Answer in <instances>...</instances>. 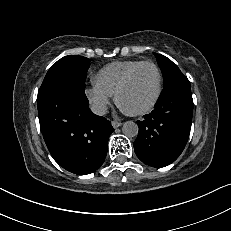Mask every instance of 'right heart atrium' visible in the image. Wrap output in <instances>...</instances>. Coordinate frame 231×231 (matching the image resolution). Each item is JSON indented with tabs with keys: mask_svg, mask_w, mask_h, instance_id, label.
I'll list each match as a JSON object with an SVG mask.
<instances>
[{
	"mask_svg": "<svg viewBox=\"0 0 231 231\" xmlns=\"http://www.w3.org/2000/svg\"><path fill=\"white\" fill-rule=\"evenodd\" d=\"M85 95L97 114H105L112 95L102 90L95 83L85 89Z\"/></svg>",
	"mask_w": 231,
	"mask_h": 231,
	"instance_id": "right-heart-atrium-1",
	"label": "right heart atrium"
}]
</instances>
